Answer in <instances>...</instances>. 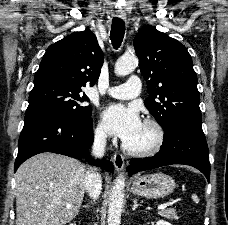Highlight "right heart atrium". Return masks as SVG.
<instances>
[{
    "mask_svg": "<svg viewBox=\"0 0 228 225\" xmlns=\"http://www.w3.org/2000/svg\"><path fill=\"white\" fill-rule=\"evenodd\" d=\"M94 135L99 142H105L108 139V132L101 122L96 126Z\"/></svg>",
    "mask_w": 228,
    "mask_h": 225,
    "instance_id": "right-heart-atrium-1",
    "label": "right heart atrium"
}]
</instances>
